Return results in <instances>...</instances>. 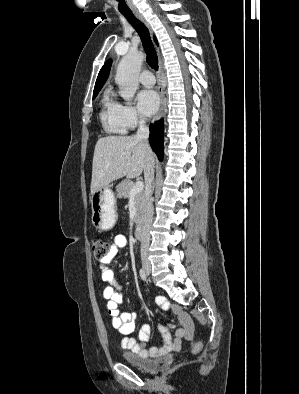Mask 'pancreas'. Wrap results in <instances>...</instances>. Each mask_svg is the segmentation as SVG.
<instances>
[{
  "mask_svg": "<svg viewBox=\"0 0 299 394\" xmlns=\"http://www.w3.org/2000/svg\"><path fill=\"white\" fill-rule=\"evenodd\" d=\"M134 182L125 179L123 180L118 186H117V195L120 198H130V191L134 186ZM143 205H144V193L141 191L137 195H135V207H136V214L134 218V222L138 223L140 220V217L142 215V210H143Z\"/></svg>",
  "mask_w": 299,
  "mask_h": 394,
  "instance_id": "pancreas-1",
  "label": "pancreas"
}]
</instances>
